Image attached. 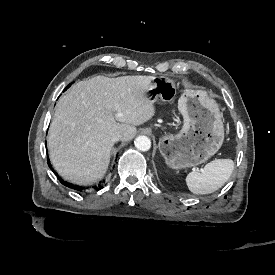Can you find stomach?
Segmentation results:
<instances>
[{"instance_id": "0dacf381", "label": "stomach", "mask_w": 275, "mask_h": 275, "mask_svg": "<svg viewBox=\"0 0 275 275\" xmlns=\"http://www.w3.org/2000/svg\"><path fill=\"white\" fill-rule=\"evenodd\" d=\"M176 94L175 83L167 77H156L147 92L155 102L171 101ZM183 125L176 134L164 133L158 148L165 164L172 170L193 168L213 157L224 142L222 113L215 100L205 91H187L178 103Z\"/></svg>"}]
</instances>
